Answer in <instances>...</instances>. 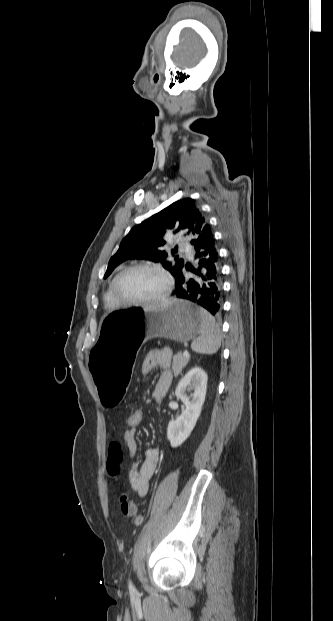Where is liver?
Masks as SVG:
<instances>
[{
    "label": "liver",
    "instance_id": "liver-1",
    "mask_svg": "<svg viewBox=\"0 0 333 621\" xmlns=\"http://www.w3.org/2000/svg\"><path fill=\"white\" fill-rule=\"evenodd\" d=\"M167 302H168V301H163V302H161L159 305H164V304H166Z\"/></svg>",
    "mask_w": 333,
    "mask_h": 621
}]
</instances>
